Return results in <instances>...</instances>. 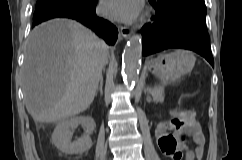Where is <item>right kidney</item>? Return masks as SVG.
I'll return each instance as SVG.
<instances>
[{
  "label": "right kidney",
  "mask_w": 242,
  "mask_h": 160,
  "mask_svg": "<svg viewBox=\"0 0 242 160\" xmlns=\"http://www.w3.org/2000/svg\"><path fill=\"white\" fill-rule=\"evenodd\" d=\"M79 124L86 128V132L81 138H78L76 141L72 142V133L70 129L77 127ZM95 127V121L90 116L72 117L63 120L56 126L52 134V142L63 153H84L92 146L90 135L95 130Z\"/></svg>",
  "instance_id": "obj_1"
}]
</instances>
